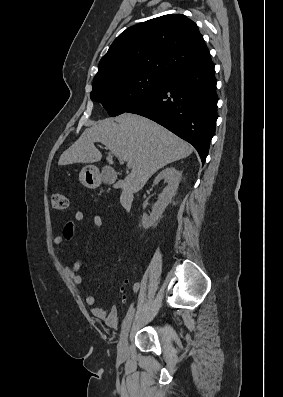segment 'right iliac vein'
<instances>
[{"instance_id":"63e3f726","label":"right iliac vein","mask_w":283,"mask_h":397,"mask_svg":"<svg viewBox=\"0 0 283 397\" xmlns=\"http://www.w3.org/2000/svg\"><path fill=\"white\" fill-rule=\"evenodd\" d=\"M133 317H134V311L132 312V314L130 315V317L128 318V320L126 321L121 334H120V340L118 343V347H117V354L118 357L120 359H124L127 355V349H128V333L133 321Z\"/></svg>"}]
</instances>
